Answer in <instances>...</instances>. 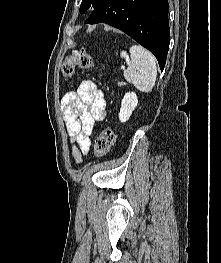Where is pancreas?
<instances>
[{
    "label": "pancreas",
    "mask_w": 221,
    "mask_h": 263,
    "mask_svg": "<svg viewBox=\"0 0 221 263\" xmlns=\"http://www.w3.org/2000/svg\"><path fill=\"white\" fill-rule=\"evenodd\" d=\"M124 85H125V82H123V81L122 82H118V86L121 87V86H124Z\"/></svg>",
    "instance_id": "cf45deb5"
}]
</instances>
